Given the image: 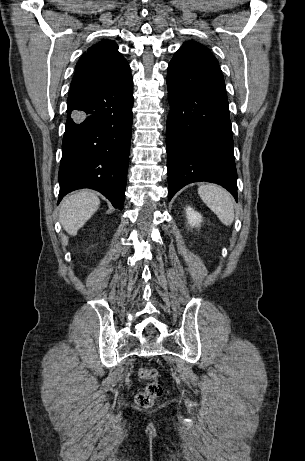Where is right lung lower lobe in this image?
<instances>
[{
  "label": "right lung lower lobe",
  "instance_id": "98d812e1",
  "mask_svg": "<svg viewBox=\"0 0 305 461\" xmlns=\"http://www.w3.org/2000/svg\"><path fill=\"white\" fill-rule=\"evenodd\" d=\"M133 101L131 73L69 91L58 203L67 193L91 188L123 209Z\"/></svg>",
  "mask_w": 305,
  "mask_h": 461
}]
</instances>
